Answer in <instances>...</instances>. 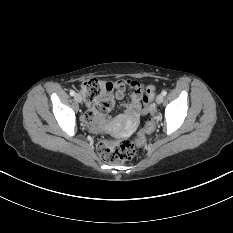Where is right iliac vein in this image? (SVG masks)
<instances>
[{"instance_id": "1", "label": "right iliac vein", "mask_w": 233, "mask_h": 233, "mask_svg": "<svg viewBox=\"0 0 233 233\" xmlns=\"http://www.w3.org/2000/svg\"><path fill=\"white\" fill-rule=\"evenodd\" d=\"M75 100L77 101V102H79V103H81L82 102V97H81V95L80 94H75Z\"/></svg>"}]
</instances>
